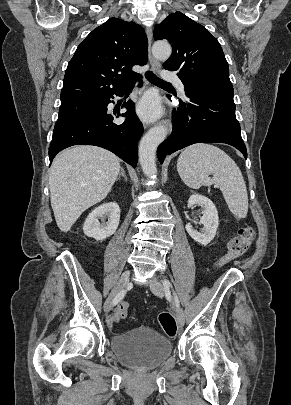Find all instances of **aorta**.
Segmentation results:
<instances>
[{"mask_svg": "<svg viewBox=\"0 0 291 405\" xmlns=\"http://www.w3.org/2000/svg\"><path fill=\"white\" fill-rule=\"evenodd\" d=\"M171 53L172 48L167 41H156L152 46L153 56L160 61H166ZM166 136L167 128L159 125L151 128L140 141L139 161L143 173L148 178H154L157 174L156 150Z\"/></svg>", "mask_w": 291, "mask_h": 405, "instance_id": "obj_1", "label": "aorta"}]
</instances>
